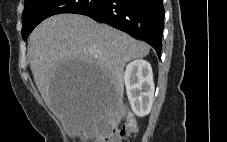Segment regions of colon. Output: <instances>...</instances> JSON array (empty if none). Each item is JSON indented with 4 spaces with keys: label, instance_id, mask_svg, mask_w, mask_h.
<instances>
[{
    "label": "colon",
    "instance_id": "1",
    "mask_svg": "<svg viewBox=\"0 0 227 142\" xmlns=\"http://www.w3.org/2000/svg\"><path fill=\"white\" fill-rule=\"evenodd\" d=\"M135 131V120L127 117L120 127L115 123L104 126L97 142H121L123 138L130 136Z\"/></svg>",
    "mask_w": 227,
    "mask_h": 142
}]
</instances>
